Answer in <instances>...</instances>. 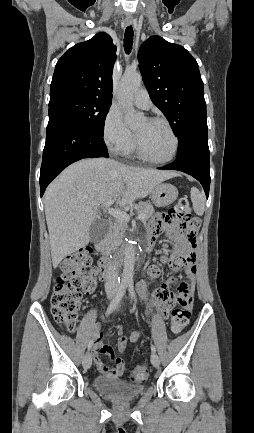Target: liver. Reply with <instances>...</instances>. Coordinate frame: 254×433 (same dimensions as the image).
Returning <instances> with one entry per match:
<instances>
[{
	"label": "liver",
	"mask_w": 254,
	"mask_h": 433,
	"mask_svg": "<svg viewBox=\"0 0 254 433\" xmlns=\"http://www.w3.org/2000/svg\"><path fill=\"white\" fill-rule=\"evenodd\" d=\"M176 175L105 158L83 159L70 165L45 192L53 267L89 243V229L100 205L110 200L121 207L129 205Z\"/></svg>",
	"instance_id": "6515ba94"
}]
</instances>
